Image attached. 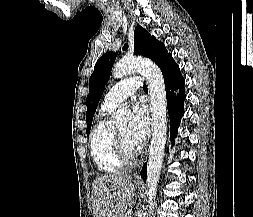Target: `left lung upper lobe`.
<instances>
[{
    "mask_svg": "<svg viewBox=\"0 0 253 217\" xmlns=\"http://www.w3.org/2000/svg\"><path fill=\"white\" fill-rule=\"evenodd\" d=\"M127 47L126 44L123 49L126 50ZM134 53L150 58L159 67L172 57L162 42L156 40L154 36H151L148 31L139 25L135 28ZM115 59V52L105 53L95 64L94 71L89 79L90 91L86 99L87 135H89L97 104L103 94L105 84L110 78Z\"/></svg>",
    "mask_w": 253,
    "mask_h": 217,
    "instance_id": "5c2ea615",
    "label": "left lung upper lobe"
}]
</instances>
